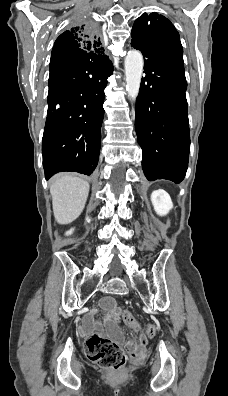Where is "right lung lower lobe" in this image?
Instances as JSON below:
<instances>
[{
  "label": "right lung lower lobe",
  "instance_id": "98d812e1",
  "mask_svg": "<svg viewBox=\"0 0 228 396\" xmlns=\"http://www.w3.org/2000/svg\"><path fill=\"white\" fill-rule=\"evenodd\" d=\"M113 73L107 56L51 57L48 112L42 139L45 178L62 171L90 175L98 164L104 89Z\"/></svg>",
  "mask_w": 228,
  "mask_h": 396
}]
</instances>
